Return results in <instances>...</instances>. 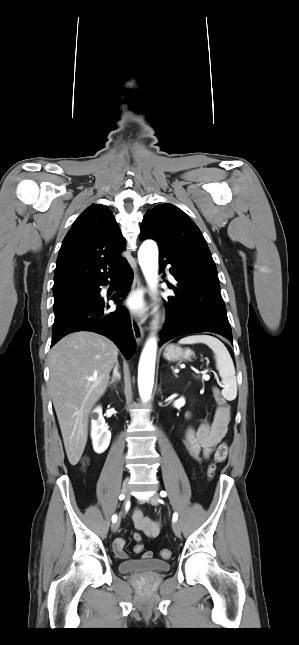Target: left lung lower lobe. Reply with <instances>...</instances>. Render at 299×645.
Wrapping results in <instances>:
<instances>
[{"label": "left lung lower lobe", "mask_w": 299, "mask_h": 645, "mask_svg": "<svg viewBox=\"0 0 299 645\" xmlns=\"http://www.w3.org/2000/svg\"><path fill=\"white\" fill-rule=\"evenodd\" d=\"M160 270L172 265L170 273L178 282L170 286L176 296L165 301L166 323L159 346L190 333L212 332L232 339L225 303L215 265L177 253L160 254Z\"/></svg>", "instance_id": "left-lung-lower-lobe-1"}]
</instances>
